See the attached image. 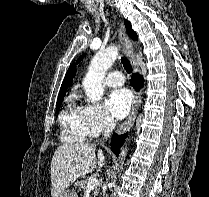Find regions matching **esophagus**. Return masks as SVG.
Masks as SVG:
<instances>
[{
    "mask_svg": "<svg viewBox=\"0 0 209 197\" xmlns=\"http://www.w3.org/2000/svg\"><path fill=\"white\" fill-rule=\"evenodd\" d=\"M118 33H119V39L124 47V53L128 57L130 63L134 67L135 71H137L138 66H137L136 60L133 57L132 43L130 42V40L126 34L125 28L122 24H120V26H119ZM140 100H141V94H140V92H137L135 95V100H134L131 112H130L128 118L118 128V130H117L118 134L124 133L129 128V126L134 122V120L137 116V113H138Z\"/></svg>",
    "mask_w": 209,
    "mask_h": 197,
    "instance_id": "obj_1",
    "label": "esophagus"
}]
</instances>
